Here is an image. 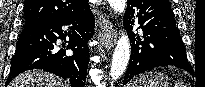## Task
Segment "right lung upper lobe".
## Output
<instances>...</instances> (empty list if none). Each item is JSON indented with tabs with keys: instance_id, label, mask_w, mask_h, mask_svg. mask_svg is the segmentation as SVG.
<instances>
[{
	"instance_id": "obj_1",
	"label": "right lung upper lobe",
	"mask_w": 205,
	"mask_h": 87,
	"mask_svg": "<svg viewBox=\"0 0 205 87\" xmlns=\"http://www.w3.org/2000/svg\"><path fill=\"white\" fill-rule=\"evenodd\" d=\"M88 5V0H25L24 27L61 19Z\"/></svg>"
}]
</instances>
